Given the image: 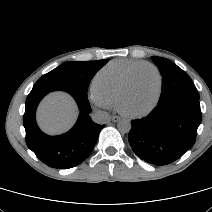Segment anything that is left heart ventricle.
<instances>
[{"instance_id":"obj_1","label":"left heart ventricle","mask_w":212,"mask_h":212,"mask_svg":"<svg viewBox=\"0 0 212 212\" xmlns=\"http://www.w3.org/2000/svg\"><path fill=\"white\" fill-rule=\"evenodd\" d=\"M158 92V77L151 68H142L134 76L122 108L129 113H140L149 108Z\"/></svg>"}]
</instances>
